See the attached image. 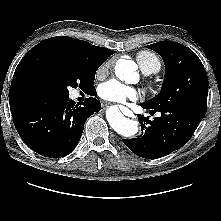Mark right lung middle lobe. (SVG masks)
Here are the masks:
<instances>
[{
	"instance_id": "dd1d6c3e",
	"label": "right lung middle lobe",
	"mask_w": 221,
	"mask_h": 221,
	"mask_svg": "<svg viewBox=\"0 0 221 221\" xmlns=\"http://www.w3.org/2000/svg\"><path fill=\"white\" fill-rule=\"evenodd\" d=\"M98 67L61 52L29 59L21 69V78L32 91L69 96L68 87L92 89Z\"/></svg>"
}]
</instances>
